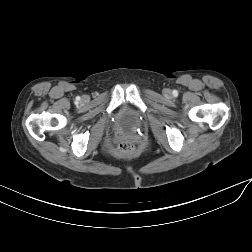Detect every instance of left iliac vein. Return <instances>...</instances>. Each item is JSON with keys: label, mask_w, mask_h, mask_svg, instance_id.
Here are the masks:
<instances>
[{"label": "left iliac vein", "mask_w": 252, "mask_h": 252, "mask_svg": "<svg viewBox=\"0 0 252 252\" xmlns=\"http://www.w3.org/2000/svg\"><path fill=\"white\" fill-rule=\"evenodd\" d=\"M164 93H165V95H170L171 94V90L170 89H165Z\"/></svg>", "instance_id": "left-iliac-vein-1"}]
</instances>
